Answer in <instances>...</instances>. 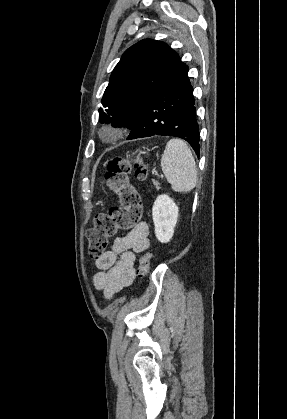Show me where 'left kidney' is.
Instances as JSON below:
<instances>
[{"mask_svg":"<svg viewBox=\"0 0 287 419\" xmlns=\"http://www.w3.org/2000/svg\"><path fill=\"white\" fill-rule=\"evenodd\" d=\"M178 206L166 194L159 195L152 208L155 236L161 243H167L174 234L178 219Z\"/></svg>","mask_w":287,"mask_h":419,"instance_id":"1","label":"left kidney"}]
</instances>
